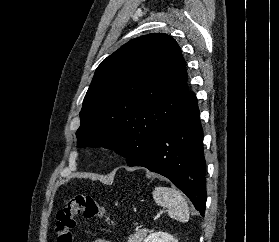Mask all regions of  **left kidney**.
<instances>
[{
  "label": "left kidney",
  "instance_id": "5707ae66",
  "mask_svg": "<svg viewBox=\"0 0 279 242\" xmlns=\"http://www.w3.org/2000/svg\"><path fill=\"white\" fill-rule=\"evenodd\" d=\"M144 242H178V240L166 232L159 231L151 233Z\"/></svg>",
  "mask_w": 279,
  "mask_h": 242
}]
</instances>
